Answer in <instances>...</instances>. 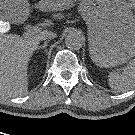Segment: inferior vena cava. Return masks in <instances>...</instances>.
<instances>
[{
  "label": "inferior vena cava",
  "instance_id": "obj_1",
  "mask_svg": "<svg viewBox=\"0 0 135 135\" xmlns=\"http://www.w3.org/2000/svg\"><path fill=\"white\" fill-rule=\"evenodd\" d=\"M55 37H56V33L52 32V31H42L40 33L41 40L53 39Z\"/></svg>",
  "mask_w": 135,
  "mask_h": 135
}]
</instances>
